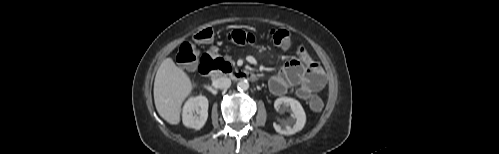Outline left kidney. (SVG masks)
I'll use <instances>...</instances> for the list:
<instances>
[{
    "instance_id": "1",
    "label": "left kidney",
    "mask_w": 499,
    "mask_h": 154,
    "mask_svg": "<svg viewBox=\"0 0 499 154\" xmlns=\"http://www.w3.org/2000/svg\"><path fill=\"white\" fill-rule=\"evenodd\" d=\"M274 108L278 112L291 111V117L295 120L294 125L281 126L274 123L276 132L284 135H292L301 131L306 123V114L299 101L290 97H281L275 100Z\"/></svg>"
}]
</instances>
